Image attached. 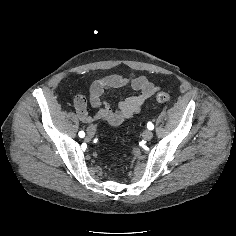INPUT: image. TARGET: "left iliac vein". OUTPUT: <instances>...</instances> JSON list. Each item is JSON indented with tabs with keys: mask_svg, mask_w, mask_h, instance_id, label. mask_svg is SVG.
<instances>
[{
	"mask_svg": "<svg viewBox=\"0 0 236 236\" xmlns=\"http://www.w3.org/2000/svg\"><path fill=\"white\" fill-rule=\"evenodd\" d=\"M142 137H143L145 140L149 141V140H151V139L153 138V133H152L151 131H149V130H145V131L142 133Z\"/></svg>",
	"mask_w": 236,
	"mask_h": 236,
	"instance_id": "1",
	"label": "left iliac vein"
}]
</instances>
